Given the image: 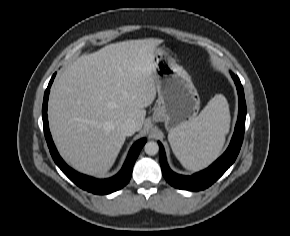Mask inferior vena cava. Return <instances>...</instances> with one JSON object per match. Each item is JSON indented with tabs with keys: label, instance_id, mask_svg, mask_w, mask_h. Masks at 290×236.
<instances>
[{
	"label": "inferior vena cava",
	"instance_id": "602c4592",
	"mask_svg": "<svg viewBox=\"0 0 290 236\" xmlns=\"http://www.w3.org/2000/svg\"><path fill=\"white\" fill-rule=\"evenodd\" d=\"M121 130L126 136H131L135 133L136 131V125L133 120H126L122 125H121Z\"/></svg>",
	"mask_w": 290,
	"mask_h": 236
}]
</instances>
